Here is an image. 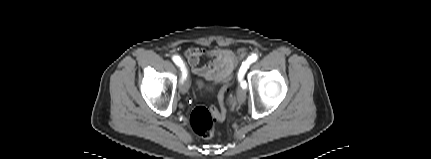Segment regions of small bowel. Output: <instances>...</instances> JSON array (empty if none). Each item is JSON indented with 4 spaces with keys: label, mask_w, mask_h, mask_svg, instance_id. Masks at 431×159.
<instances>
[{
    "label": "small bowel",
    "mask_w": 431,
    "mask_h": 159,
    "mask_svg": "<svg viewBox=\"0 0 431 159\" xmlns=\"http://www.w3.org/2000/svg\"><path fill=\"white\" fill-rule=\"evenodd\" d=\"M245 54V49H240L235 53L225 48L211 49L208 47H191L184 53L193 74L218 83L230 81L234 69ZM203 56L211 58V61L200 65V59Z\"/></svg>",
    "instance_id": "1"
}]
</instances>
